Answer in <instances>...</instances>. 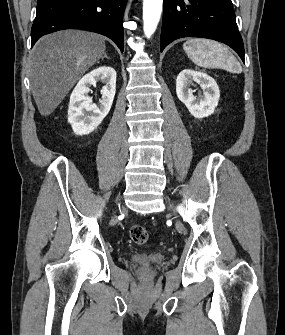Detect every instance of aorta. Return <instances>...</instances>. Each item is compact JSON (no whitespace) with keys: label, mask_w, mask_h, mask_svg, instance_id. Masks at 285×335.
Returning <instances> with one entry per match:
<instances>
[{"label":"aorta","mask_w":285,"mask_h":335,"mask_svg":"<svg viewBox=\"0 0 285 335\" xmlns=\"http://www.w3.org/2000/svg\"><path fill=\"white\" fill-rule=\"evenodd\" d=\"M163 0H143L144 34L150 38L154 34L162 14Z\"/></svg>","instance_id":"1"}]
</instances>
